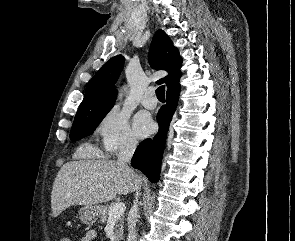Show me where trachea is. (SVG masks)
<instances>
[{
	"mask_svg": "<svg viewBox=\"0 0 295 241\" xmlns=\"http://www.w3.org/2000/svg\"><path fill=\"white\" fill-rule=\"evenodd\" d=\"M156 95L159 100H165V86L164 85L159 86L156 89Z\"/></svg>",
	"mask_w": 295,
	"mask_h": 241,
	"instance_id": "1",
	"label": "trachea"
}]
</instances>
